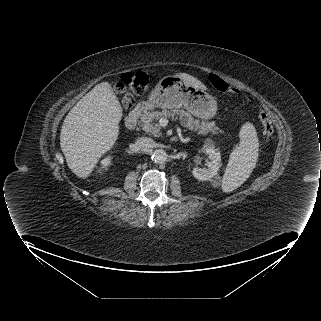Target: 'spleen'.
<instances>
[{
	"label": "spleen",
	"mask_w": 321,
	"mask_h": 321,
	"mask_svg": "<svg viewBox=\"0 0 321 321\" xmlns=\"http://www.w3.org/2000/svg\"><path fill=\"white\" fill-rule=\"evenodd\" d=\"M240 144L230 154L222 179V190L231 192L240 187L255 168L259 142L255 127L246 122L239 132Z\"/></svg>",
	"instance_id": "obj_1"
}]
</instances>
